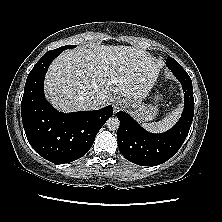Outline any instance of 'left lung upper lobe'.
I'll return each mask as SVG.
<instances>
[{"instance_id": "5c2ea615", "label": "left lung upper lobe", "mask_w": 222, "mask_h": 222, "mask_svg": "<svg viewBox=\"0 0 222 222\" xmlns=\"http://www.w3.org/2000/svg\"><path fill=\"white\" fill-rule=\"evenodd\" d=\"M166 65L167 67H170L171 65L175 66V65H180L176 60H174L171 57H168L166 60Z\"/></svg>"}]
</instances>
